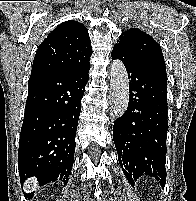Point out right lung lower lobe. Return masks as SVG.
<instances>
[{
	"label": "right lung lower lobe",
	"instance_id": "98d812e1",
	"mask_svg": "<svg viewBox=\"0 0 196 201\" xmlns=\"http://www.w3.org/2000/svg\"><path fill=\"white\" fill-rule=\"evenodd\" d=\"M89 69L90 65L29 79L18 150L22 184L32 176L39 186L55 180L67 184Z\"/></svg>",
	"mask_w": 196,
	"mask_h": 201
}]
</instances>
